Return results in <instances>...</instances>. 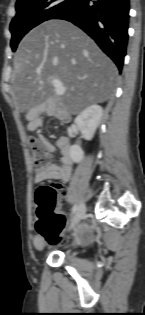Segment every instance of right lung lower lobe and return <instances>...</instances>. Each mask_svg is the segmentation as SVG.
<instances>
[{"label":"right lung lower lobe","mask_w":145,"mask_h":315,"mask_svg":"<svg viewBox=\"0 0 145 315\" xmlns=\"http://www.w3.org/2000/svg\"><path fill=\"white\" fill-rule=\"evenodd\" d=\"M129 0H74L54 19L68 20L91 36L121 71L128 43Z\"/></svg>","instance_id":"98d812e1"}]
</instances>
